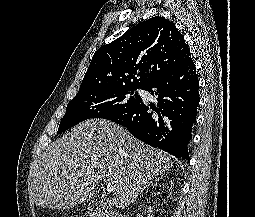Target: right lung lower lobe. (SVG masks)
<instances>
[{"label":"right lung lower lobe","instance_id":"98d812e1","mask_svg":"<svg viewBox=\"0 0 255 217\" xmlns=\"http://www.w3.org/2000/svg\"><path fill=\"white\" fill-rule=\"evenodd\" d=\"M198 87L191 58L146 87V91L157 96V107L141 101L131 111L109 120L126 127L139 140L190 161L187 145L196 121Z\"/></svg>","mask_w":255,"mask_h":217}]
</instances>
